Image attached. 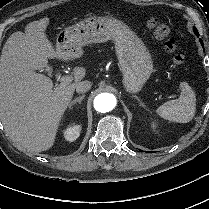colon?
<instances>
[{"mask_svg":"<svg viewBox=\"0 0 209 209\" xmlns=\"http://www.w3.org/2000/svg\"><path fill=\"white\" fill-rule=\"evenodd\" d=\"M146 27L153 32L154 37L162 42L163 50L166 53H174L178 46V41L175 37L170 35V28L159 22L154 17H149L146 20ZM172 64L186 70L189 66L187 58L182 53H176L172 56Z\"/></svg>","mask_w":209,"mask_h":209,"instance_id":"colon-1","label":"colon"}]
</instances>
